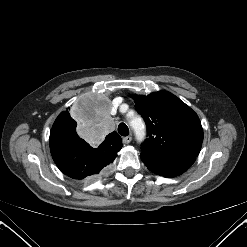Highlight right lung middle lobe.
I'll return each instance as SVG.
<instances>
[{
	"mask_svg": "<svg viewBox=\"0 0 247 247\" xmlns=\"http://www.w3.org/2000/svg\"><path fill=\"white\" fill-rule=\"evenodd\" d=\"M69 113V112H68ZM77 123L75 120H73L69 114V119L68 121L61 122L60 128L61 129H66V130H71V129H76Z\"/></svg>",
	"mask_w": 247,
	"mask_h": 247,
	"instance_id": "dd1d6c3e",
	"label": "right lung middle lobe"
}]
</instances>
